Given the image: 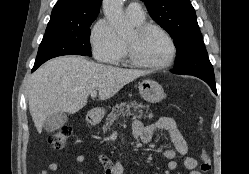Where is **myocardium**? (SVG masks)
<instances>
[{"label":"myocardium","mask_w":249,"mask_h":174,"mask_svg":"<svg viewBox=\"0 0 249 174\" xmlns=\"http://www.w3.org/2000/svg\"><path fill=\"white\" fill-rule=\"evenodd\" d=\"M150 31L160 32L167 38V40L169 41L171 45V48H172L171 56L164 63L151 64V63L144 62L141 59H139L135 53V42L141 39L143 36H145ZM133 33H134V40L133 41L125 40L124 42L126 58L132 65L139 67V68L149 69V70H160V69L167 68L173 64L177 56V45H176L175 40L173 39V37L167 30L153 23H143L139 26H136L135 29L133 30Z\"/></svg>","instance_id":"myocardium-1"}]
</instances>
